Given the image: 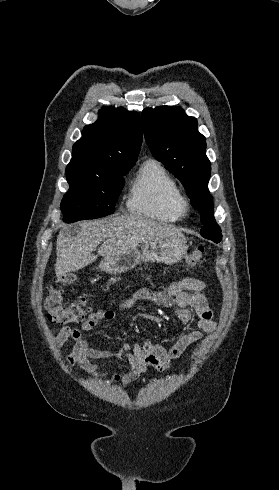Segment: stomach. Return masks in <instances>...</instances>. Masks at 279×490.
<instances>
[{"label": "stomach", "instance_id": "0dacf381", "mask_svg": "<svg viewBox=\"0 0 279 490\" xmlns=\"http://www.w3.org/2000/svg\"><path fill=\"white\" fill-rule=\"evenodd\" d=\"M188 244L184 236L168 238V240H152L142 244L140 250H128L119 256L104 258L100 262L101 272L107 274H123L135 268L140 262H157L173 266L185 258Z\"/></svg>", "mask_w": 279, "mask_h": 490}]
</instances>
